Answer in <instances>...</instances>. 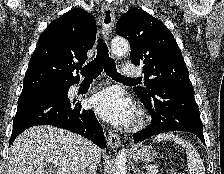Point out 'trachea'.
<instances>
[{
    "instance_id": "trachea-1",
    "label": "trachea",
    "mask_w": 224,
    "mask_h": 174,
    "mask_svg": "<svg viewBox=\"0 0 224 174\" xmlns=\"http://www.w3.org/2000/svg\"><path fill=\"white\" fill-rule=\"evenodd\" d=\"M103 69L109 77L117 81L139 80L135 78L124 77L119 74L116 70L115 62L109 57L107 46L102 42V40H99L97 45L96 58L88 65L83 67L81 70V75L84 77V80H93L101 74Z\"/></svg>"
}]
</instances>
